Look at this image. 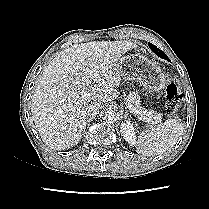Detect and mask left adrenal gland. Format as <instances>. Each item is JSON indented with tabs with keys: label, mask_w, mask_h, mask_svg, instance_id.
<instances>
[{
	"label": "left adrenal gland",
	"mask_w": 209,
	"mask_h": 209,
	"mask_svg": "<svg viewBox=\"0 0 209 209\" xmlns=\"http://www.w3.org/2000/svg\"><path fill=\"white\" fill-rule=\"evenodd\" d=\"M124 116H125V117L128 116V111H127V110L125 111V115H124Z\"/></svg>",
	"instance_id": "1"
}]
</instances>
